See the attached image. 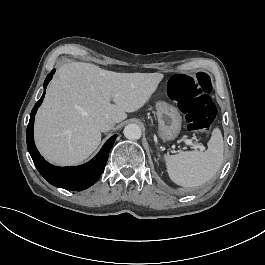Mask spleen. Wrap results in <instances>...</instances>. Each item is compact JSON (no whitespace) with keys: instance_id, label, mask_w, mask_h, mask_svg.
Returning a JSON list of instances; mask_svg holds the SVG:
<instances>
[{"instance_id":"obj_1","label":"spleen","mask_w":265,"mask_h":265,"mask_svg":"<svg viewBox=\"0 0 265 265\" xmlns=\"http://www.w3.org/2000/svg\"><path fill=\"white\" fill-rule=\"evenodd\" d=\"M224 142L219 125H215L206 151L162 155L169 178L184 187H195L209 181L223 161Z\"/></svg>"}]
</instances>
